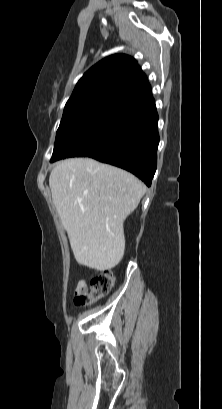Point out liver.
Instances as JSON below:
<instances>
[{
    "label": "liver",
    "mask_w": 222,
    "mask_h": 409,
    "mask_svg": "<svg viewBox=\"0 0 222 409\" xmlns=\"http://www.w3.org/2000/svg\"><path fill=\"white\" fill-rule=\"evenodd\" d=\"M52 200L76 261L104 271L125 250L123 223L137 208L144 184L131 173L91 158H70L49 177Z\"/></svg>",
    "instance_id": "liver-1"
}]
</instances>
